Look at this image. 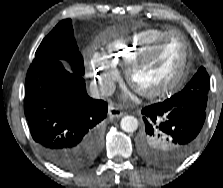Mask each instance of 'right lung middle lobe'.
I'll list each match as a JSON object with an SVG mask.
<instances>
[{
  "label": "right lung middle lobe",
  "mask_w": 223,
  "mask_h": 188,
  "mask_svg": "<svg viewBox=\"0 0 223 188\" xmlns=\"http://www.w3.org/2000/svg\"><path fill=\"white\" fill-rule=\"evenodd\" d=\"M51 59L66 60L71 64L74 73L84 75V62L73 36L70 19L58 23L43 39L35 53L33 63Z\"/></svg>",
  "instance_id": "right-lung-middle-lobe-1"
}]
</instances>
